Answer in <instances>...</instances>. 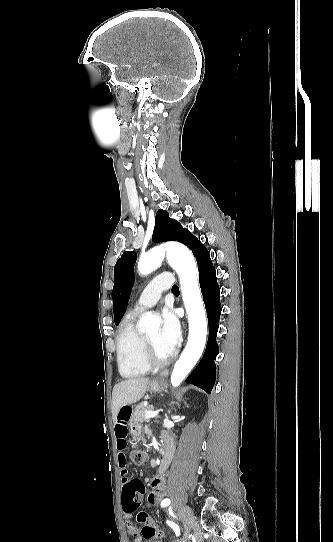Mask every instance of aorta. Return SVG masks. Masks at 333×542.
I'll list each match as a JSON object with an SVG mask.
<instances>
[{"label":"aorta","instance_id":"762f6f07","mask_svg":"<svg viewBox=\"0 0 333 542\" xmlns=\"http://www.w3.org/2000/svg\"><path fill=\"white\" fill-rule=\"evenodd\" d=\"M165 250L170 266L180 278L182 298L189 322L188 342L177 360L170 378L172 386L176 388L190 374L203 354L207 336V320L198 286L196 262L192 252L183 244H176V242L166 244ZM161 264V252L150 250L148 254L141 256L138 270L140 274L147 276L157 270ZM156 324H158L156 316L147 312L141 316L139 328L140 330H148Z\"/></svg>","mask_w":333,"mask_h":542}]
</instances>
